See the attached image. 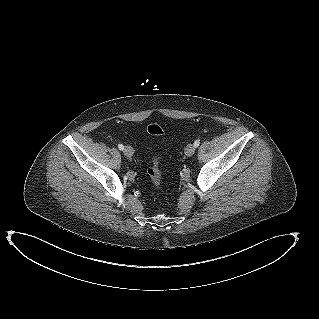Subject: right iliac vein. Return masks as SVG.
Returning a JSON list of instances; mask_svg holds the SVG:
<instances>
[{
  "label": "right iliac vein",
  "mask_w": 319,
  "mask_h": 319,
  "mask_svg": "<svg viewBox=\"0 0 319 319\" xmlns=\"http://www.w3.org/2000/svg\"><path fill=\"white\" fill-rule=\"evenodd\" d=\"M134 154V150L131 146H126L124 148V155L127 156V157H132Z\"/></svg>",
  "instance_id": "right-iliac-vein-1"
}]
</instances>
